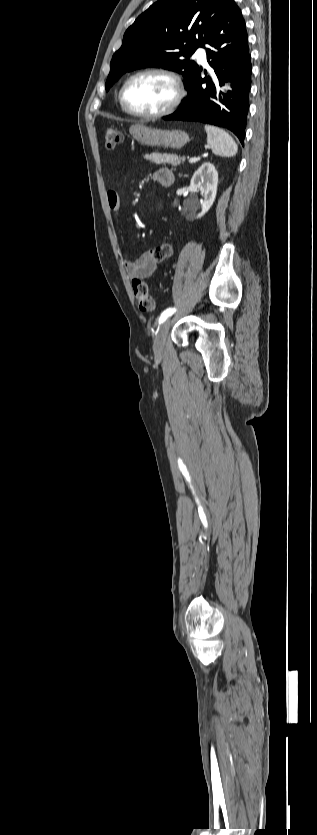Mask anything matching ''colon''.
<instances>
[{
    "instance_id": "1",
    "label": "colon",
    "mask_w": 317,
    "mask_h": 835,
    "mask_svg": "<svg viewBox=\"0 0 317 835\" xmlns=\"http://www.w3.org/2000/svg\"><path fill=\"white\" fill-rule=\"evenodd\" d=\"M122 140L121 134L114 128H107L104 131V142L108 149H114ZM174 246L166 243L158 247L151 248L149 252L157 261H164L170 259L174 255ZM132 289L134 296L138 302L139 308L142 311H152L155 307L154 299L148 293L147 284L140 279L132 280Z\"/></svg>"
}]
</instances>
